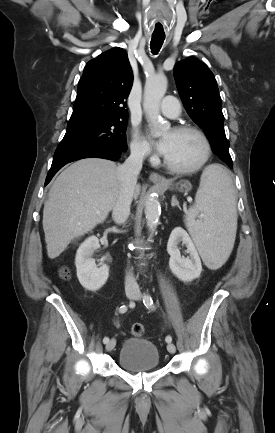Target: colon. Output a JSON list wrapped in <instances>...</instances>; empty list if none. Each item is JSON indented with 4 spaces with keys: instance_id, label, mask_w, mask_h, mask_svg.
I'll list each match as a JSON object with an SVG mask.
<instances>
[{
    "instance_id": "5ec220e1",
    "label": "colon",
    "mask_w": 275,
    "mask_h": 433,
    "mask_svg": "<svg viewBox=\"0 0 275 433\" xmlns=\"http://www.w3.org/2000/svg\"><path fill=\"white\" fill-rule=\"evenodd\" d=\"M59 276L62 279H67L69 277V270L65 267L61 268L59 271ZM144 332H145V328H144L143 324H141V323H135L131 327V333L135 337L143 336Z\"/></svg>"
}]
</instances>
